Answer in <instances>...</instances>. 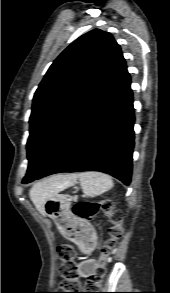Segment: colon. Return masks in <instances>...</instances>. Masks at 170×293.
I'll use <instances>...</instances> for the list:
<instances>
[{
  "label": "colon",
  "instance_id": "obj_1",
  "mask_svg": "<svg viewBox=\"0 0 170 293\" xmlns=\"http://www.w3.org/2000/svg\"><path fill=\"white\" fill-rule=\"evenodd\" d=\"M99 211H102L107 217L111 218L113 226L108 231V238L100 248L99 263L85 287L81 286L77 275V265L75 262V249L69 244H63L57 248L58 258L61 262L59 273L63 279L60 287L56 292L52 293H92L91 291L98 287L105 276V263L110 256L113 247L122 238L124 234L122 220L119 214L115 212L114 203L112 201L93 202L81 201L73 205L72 214L79 220L73 218H61L58 220V227L62 234L81 235L83 233V225L92 221ZM83 291V292H80Z\"/></svg>",
  "mask_w": 170,
  "mask_h": 293
}]
</instances>
